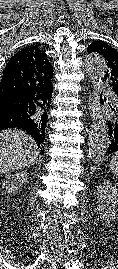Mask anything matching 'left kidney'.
<instances>
[{
  "label": "left kidney",
  "instance_id": "5707ae66",
  "mask_svg": "<svg viewBox=\"0 0 118 269\" xmlns=\"http://www.w3.org/2000/svg\"><path fill=\"white\" fill-rule=\"evenodd\" d=\"M96 196L99 199L96 212L100 218L107 224L110 223L116 215V208L118 207V189L109 181L100 183L97 187Z\"/></svg>",
  "mask_w": 118,
  "mask_h": 269
}]
</instances>
